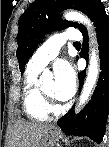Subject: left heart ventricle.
<instances>
[{
	"label": "left heart ventricle",
	"mask_w": 109,
	"mask_h": 147,
	"mask_svg": "<svg viewBox=\"0 0 109 147\" xmlns=\"http://www.w3.org/2000/svg\"><path fill=\"white\" fill-rule=\"evenodd\" d=\"M54 86H55V82H54V80L51 79L50 81H48L46 84L43 85L42 89H43L46 93H48V94H50V95L53 96V89H54Z\"/></svg>",
	"instance_id": "1"
}]
</instances>
